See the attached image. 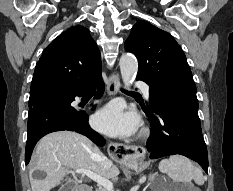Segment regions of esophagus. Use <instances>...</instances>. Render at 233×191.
Segmentation results:
<instances>
[{
  "mask_svg": "<svg viewBox=\"0 0 233 191\" xmlns=\"http://www.w3.org/2000/svg\"><path fill=\"white\" fill-rule=\"evenodd\" d=\"M120 88V78L118 74L112 73L109 76L107 91L110 96L117 95ZM109 156L115 158L118 164H132L140 160L145 153L143 147L140 146H127L122 143L110 142Z\"/></svg>",
  "mask_w": 233,
  "mask_h": 191,
  "instance_id": "obj_1",
  "label": "esophagus"
}]
</instances>
